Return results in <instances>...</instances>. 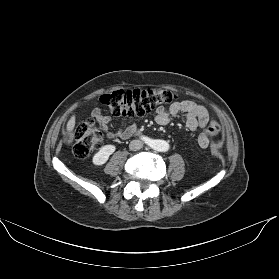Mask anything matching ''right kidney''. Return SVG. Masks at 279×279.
Wrapping results in <instances>:
<instances>
[{
	"label": "right kidney",
	"instance_id": "obj_1",
	"mask_svg": "<svg viewBox=\"0 0 279 279\" xmlns=\"http://www.w3.org/2000/svg\"><path fill=\"white\" fill-rule=\"evenodd\" d=\"M116 147L114 145H105L93 156L92 162L95 165H103L107 162L109 156L114 153Z\"/></svg>",
	"mask_w": 279,
	"mask_h": 279
}]
</instances>
